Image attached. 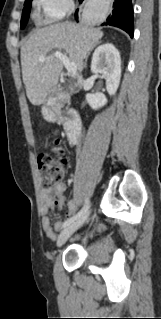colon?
Segmentation results:
<instances>
[{"mask_svg": "<svg viewBox=\"0 0 161 319\" xmlns=\"http://www.w3.org/2000/svg\"><path fill=\"white\" fill-rule=\"evenodd\" d=\"M52 153H41L38 156V165L41 171V184L50 187L61 181L64 172L69 166L68 152L57 136H49ZM59 208L62 203L57 202Z\"/></svg>", "mask_w": 161, "mask_h": 319, "instance_id": "obj_1", "label": "colon"}]
</instances>
